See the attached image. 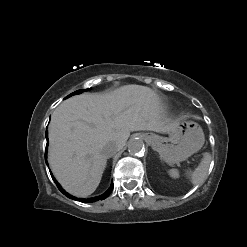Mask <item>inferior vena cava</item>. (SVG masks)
I'll use <instances>...</instances> for the list:
<instances>
[{
	"instance_id": "602c4592",
	"label": "inferior vena cava",
	"mask_w": 247,
	"mask_h": 247,
	"mask_svg": "<svg viewBox=\"0 0 247 247\" xmlns=\"http://www.w3.org/2000/svg\"><path fill=\"white\" fill-rule=\"evenodd\" d=\"M119 150H120V147H119L116 143H113V142L107 143V144L104 146V148H103L104 153H105L108 157L113 156V155L116 154Z\"/></svg>"
}]
</instances>
